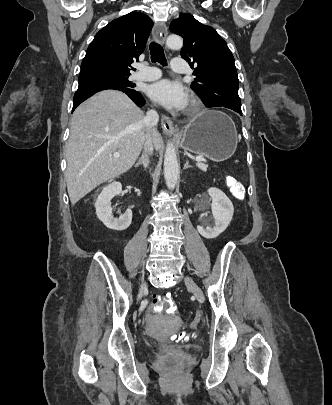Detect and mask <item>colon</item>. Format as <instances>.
<instances>
[{
    "label": "colon",
    "instance_id": "5ec220e1",
    "mask_svg": "<svg viewBox=\"0 0 332 405\" xmlns=\"http://www.w3.org/2000/svg\"><path fill=\"white\" fill-rule=\"evenodd\" d=\"M225 183L229 188L230 192L237 199H241L244 195V188L242 184L231 176L225 178ZM152 307L155 311L163 313L165 319H177L179 315L182 314V309L180 304L173 300L169 295H154L152 299ZM192 332H197V327H192ZM186 339L184 334L173 333L171 335V340L173 342H178L179 340ZM166 367L169 370L177 371L181 368V364L178 362L170 361L167 362Z\"/></svg>",
    "mask_w": 332,
    "mask_h": 405
}]
</instances>
